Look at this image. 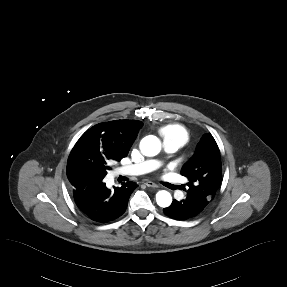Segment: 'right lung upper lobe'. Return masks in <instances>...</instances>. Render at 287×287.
<instances>
[{"label":"right lung upper lobe","instance_id":"cb5924a9","mask_svg":"<svg viewBox=\"0 0 287 287\" xmlns=\"http://www.w3.org/2000/svg\"><path fill=\"white\" fill-rule=\"evenodd\" d=\"M143 123L137 120H114L99 123L78 140L84 147L109 151L121 159L126 157Z\"/></svg>","mask_w":287,"mask_h":287}]
</instances>
